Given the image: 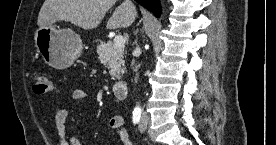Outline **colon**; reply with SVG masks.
Segmentation results:
<instances>
[{
	"instance_id": "5ec220e1",
	"label": "colon",
	"mask_w": 276,
	"mask_h": 145,
	"mask_svg": "<svg viewBox=\"0 0 276 145\" xmlns=\"http://www.w3.org/2000/svg\"><path fill=\"white\" fill-rule=\"evenodd\" d=\"M33 92L36 94H45L52 90L50 79L42 72L35 71L32 73Z\"/></svg>"
}]
</instances>
